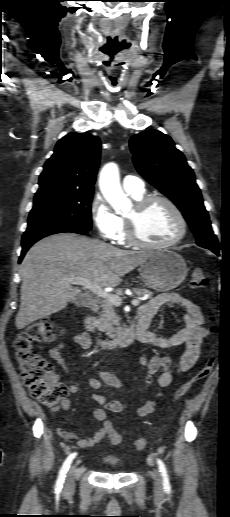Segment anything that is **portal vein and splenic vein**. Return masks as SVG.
I'll list each match as a JSON object with an SVG mask.
<instances>
[{
	"label": "portal vein and splenic vein",
	"instance_id": "18ae733b",
	"mask_svg": "<svg viewBox=\"0 0 230 517\" xmlns=\"http://www.w3.org/2000/svg\"><path fill=\"white\" fill-rule=\"evenodd\" d=\"M67 282L71 284L76 285H82L85 288L92 291L95 295L105 299L109 303H112L113 305L119 306L121 305L122 299L118 295H114L111 293H108L102 289L101 286L96 284L95 282L91 281L90 279L82 278V277H70L66 279ZM133 305L137 306L140 304V301L138 299H134L131 302Z\"/></svg>",
	"mask_w": 230,
	"mask_h": 517
}]
</instances>
